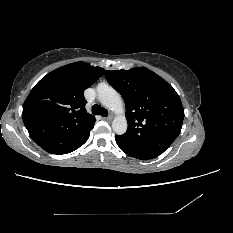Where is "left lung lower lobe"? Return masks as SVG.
<instances>
[{"label":"left lung lower lobe","mask_w":233,"mask_h":233,"mask_svg":"<svg viewBox=\"0 0 233 233\" xmlns=\"http://www.w3.org/2000/svg\"><path fill=\"white\" fill-rule=\"evenodd\" d=\"M115 140H116V143L119 146V148L125 154H127L131 157H134V158H137L140 160H148V159H152V158L157 157V155H155V154L142 152V151H139V150L133 148L132 146H130L127 143H125L124 141H122L118 135L115 136Z\"/></svg>","instance_id":"obj_1"}]
</instances>
